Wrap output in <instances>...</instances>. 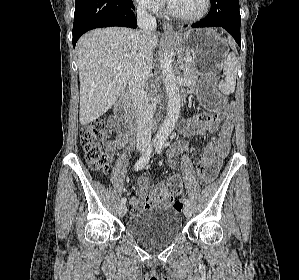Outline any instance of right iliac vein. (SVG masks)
<instances>
[{"label":"right iliac vein","instance_id":"63e3f726","mask_svg":"<svg viewBox=\"0 0 299 280\" xmlns=\"http://www.w3.org/2000/svg\"><path fill=\"white\" fill-rule=\"evenodd\" d=\"M126 211H127L126 205L125 204H121L119 206V215L122 216V217L125 216Z\"/></svg>","mask_w":299,"mask_h":280}]
</instances>
